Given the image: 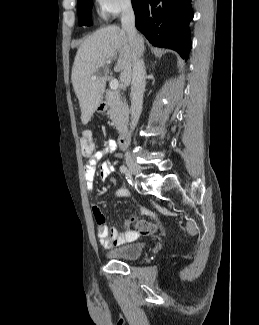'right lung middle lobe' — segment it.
<instances>
[{"mask_svg": "<svg viewBox=\"0 0 259 325\" xmlns=\"http://www.w3.org/2000/svg\"><path fill=\"white\" fill-rule=\"evenodd\" d=\"M91 6L92 0H78V18L79 24L90 26L92 25L91 20Z\"/></svg>", "mask_w": 259, "mask_h": 325, "instance_id": "dd1d6c3e", "label": "right lung middle lobe"}]
</instances>
